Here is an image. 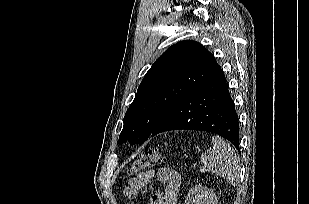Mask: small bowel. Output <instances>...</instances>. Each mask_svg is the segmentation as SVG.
Instances as JSON below:
<instances>
[{
	"label": "small bowel",
	"instance_id": "c3829d8e",
	"mask_svg": "<svg viewBox=\"0 0 309 204\" xmlns=\"http://www.w3.org/2000/svg\"><path fill=\"white\" fill-rule=\"evenodd\" d=\"M151 180L163 182L165 189L163 193L153 195L149 204H176L182 184L181 176L176 170L168 167L150 169L140 173L125 186L124 195L128 199L136 198L139 191Z\"/></svg>",
	"mask_w": 309,
	"mask_h": 204
}]
</instances>
